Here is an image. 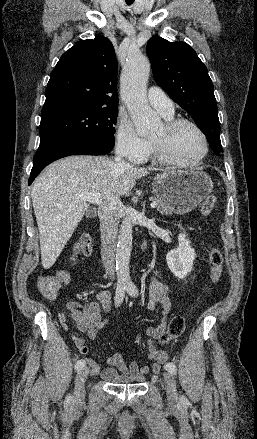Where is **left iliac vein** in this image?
Returning <instances> with one entry per match:
<instances>
[{
  "label": "left iliac vein",
  "instance_id": "1",
  "mask_svg": "<svg viewBox=\"0 0 257 439\" xmlns=\"http://www.w3.org/2000/svg\"><path fill=\"white\" fill-rule=\"evenodd\" d=\"M164 380L166 383V394L167 398L170 402H175L178 399L176 382L173 375L170 372L164 373Z\"/></svg>",
  "mask_w": 257,
  "mask_h": 439
}]
</instances>
